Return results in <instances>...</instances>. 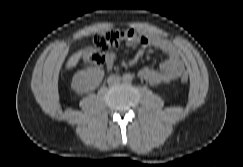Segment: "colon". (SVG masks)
I'll list each match as a JSON object with an SVG mask.
<instances>
[{"instance_id":"obj_1","label":"colon","mask_w":243,"mask_h":167,"mask_svg":"<svg viewBox=\"0 0 243 167\" xmlns=\"http://www.w3.org/2000/svg\"><path fill=\"white\" fill-rule=\"evenodd\" d=\"M129 38L130 32L125 29H112L98 33L94 37L93 46L82 49L79 58L89 65L101 66L105 60L104 54L126 43ZM180 80L182 83H187L189 76L183 74Z\"/></svg>"}]
</instances>
